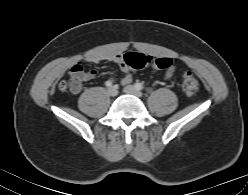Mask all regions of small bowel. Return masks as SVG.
Returning a JSON list of instances; mask_svg holds the SVG:
<instances>
[{
  "mask_svg": "<svg viewBox=\"0 0 248 195\" xmlns=\"http://www.w3.org/2000/svg\"><path fill=\"white\" fill-rule=\"evenodd\" d=\"M121 55L122 54H115V55H92L88 58L85 59V62L86 63H93V64H98V63H101L103 61H112L116 64L119 65L121 71L124 73V76L122 78V84L123 85H128L132 82V76L129 72V68L124 66L123 63H122V60H121ZM80 68V69H83V66L81 64H76L75 66H73L71 68L74 69V68ZM70 70V71H71ZM175 66H171L165 73V78L166 79H169L173 76V74L175 73ZM96 75V71L95 70H89V71H83V80L85 81H88V80H91L95 77Z\"/></svg>",
  "mask_w": 248,
  "mask_h": 195,
  "instance_id": "1",
  "label": "small bowel"
}]
</instances>
